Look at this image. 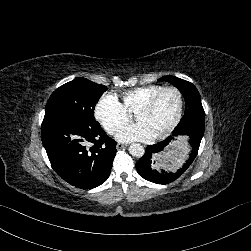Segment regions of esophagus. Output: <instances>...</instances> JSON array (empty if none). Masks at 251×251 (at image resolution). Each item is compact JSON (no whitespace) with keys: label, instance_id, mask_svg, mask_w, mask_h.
<instances>
[{"label":"esophagus","instance_id":"34e87169","mask_svg":"<svg viewBox=\"0 0 251 251\" xmlns=\"http://www.w3.org/2000/svg\"><path fill=\"white\" fill-rule=\"evenodd\" d=\"M125 147L123 143H117L116 148L117 150H122Z\"/></svg>","mask_w":251,"mask_h":251}]
</instances>
